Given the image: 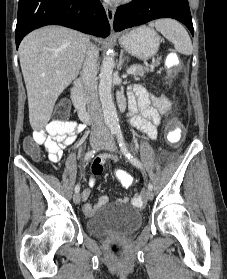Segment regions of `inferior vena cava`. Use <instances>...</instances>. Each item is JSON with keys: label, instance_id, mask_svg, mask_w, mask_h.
Segmentation results:
<instances>
[{"label": "inferior vena cava", "instance_id": "inferior-vena-cava-1", "mask_svg": "<svg viewBox=\"0 0 227 279\" xmlns=\"http://www.w3.org/2000/svg\"><path fill=\"white\" fill-rule=\"evenodd\" d=\"M98 57L99 51L97 47L91 44L87 49L80 76L88 94L92 135L105 136L108 134V129L104 122L97 91Z\"/></svg>", "mask_w": 227, "mask_h": 279}]
</instances>
